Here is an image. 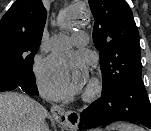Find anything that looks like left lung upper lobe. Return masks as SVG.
Instances as JSON below:
<instances>
[{
	"label": "left lung upper lobe",
	"mask_w": 151,
	"mask_h": 131,
	"mask_svg": "<svg viewBox=\"0 0 151 131\" xmlns=\"http://www.w3.org/2000/svg\"><path fill=\"white\" fill-rule=\"evenodd\" d=\"M95 18L93 41L100 52L102 92L124 79L141 75L139 33L125 0H89Z\"/></svg>",
	"instance_id": "1"
}]
</instances>
